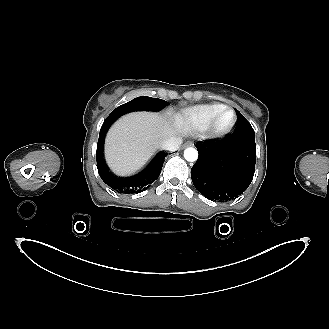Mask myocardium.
Listing matches in <instances>:
<instances>
[{
	"label": "myocardium",
	"mask_w": 329,
	"mask_h": 329,
	"mask_svg": "<svg viewBox=\"0 0 329 329\" xmlns=\"http://www.w3.org/2000/svg\"><path fill=\"white\" fill-rule=\"evenodd\" d=\"M231 112L233 114V120L232 122L227 126V127H221L219 126V120L220 117L225 113V112ZM237 121V115L235 110L232 107L225 106L222 109H220L211 119L209 124L207 125L206 129L211 133V134H225L228 133L229 131L232 130V128L235 126Z\"/></svg>",
	"instance_id": "f54148a6"
}]
</instances>
